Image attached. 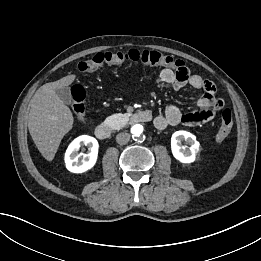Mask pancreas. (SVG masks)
Returning <instances> with one entry per match:
<instances>
[{
	"label": "pancreas",
	"mask_w": 261,
	"mask_h": 261,
	"mask_svg": "<svg viewBox=\"0 0 261 261\" xmlns=\"http://www.w3.org/2000/svg\"><path fill=\"white\" fill-rule=\"evenodd\" d=\"M129 117L127 114H113L106 118V122L109 126H111L115 130H119L122 127H125Z\"/></svg>",
	"instance_id": "cf45deb5"
}]
</instances>
